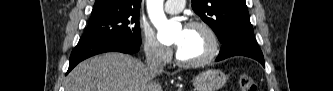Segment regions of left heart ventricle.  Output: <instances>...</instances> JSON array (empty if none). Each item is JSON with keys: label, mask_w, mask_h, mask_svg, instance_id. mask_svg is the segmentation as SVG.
<instances>
[{"label": "left heart ventricle", "mask_w": 333, "mask_h": 91, "mask_svg": "<svg viewBox=\"0 0 333 91\" xmlns=\"http://www.w3.org/2000/svg\"><path fill=\"white\" fill-rule=\"evenodd\" d=\"M175 42H180L178 53L187 61L199 60L205 57L210 49V41L205 31L199 27L179 30Z\"/></svg>", "instance_id": "obj_1"}]
</instances>
